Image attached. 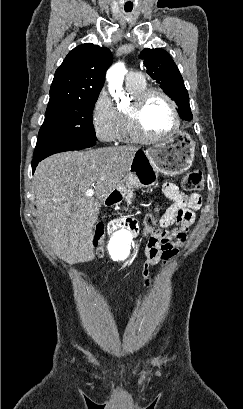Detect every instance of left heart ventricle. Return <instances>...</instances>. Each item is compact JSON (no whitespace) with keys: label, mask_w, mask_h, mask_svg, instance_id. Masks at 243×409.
Segmentation results:
<instances>
[{"label":"left heart ventricle","mask_w":243,"mask_h":409,"mask_svg":"<svg viewBox=\"0 0 243 409\" xmlns=\"http://www.w3.org/2000/svg\"><path fill=\"white\" fill-rule=\"evenodd\" d=\"M141 119L145 131L151 135L167 132L174 122L169 104L159 95H153L148 99Z\"/></svg>","instance_id":"b2bd125f"}]
</instances>
